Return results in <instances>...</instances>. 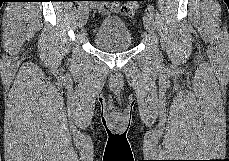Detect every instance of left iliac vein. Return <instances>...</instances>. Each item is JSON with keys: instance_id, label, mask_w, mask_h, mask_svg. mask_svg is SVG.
Masks as SVG:
<instances>
[{"instance_id": "left-iliac-vein-1", "label": "left iliac vein", "mask_w": 229, "mask_h": 161, "mask_svg": "<svg viewBox=\"0 0 229 161\" xmlns=\"http://www.w3.org/2000/svg\"><path fill=\"white\" fill-rule=\"evenodd\" d=\"M143 23L146 31L150 34H154V18L149 11H147L143 18Z\"/></svg>"}]
</instances>
